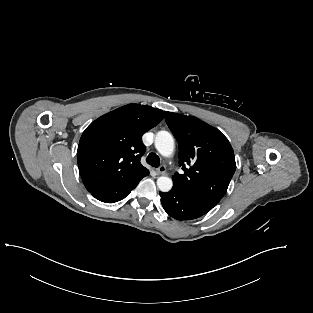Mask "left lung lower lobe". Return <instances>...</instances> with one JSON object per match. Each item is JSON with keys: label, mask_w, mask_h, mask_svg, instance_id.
<instances>
[{"label": "left lung lower lobe", "mask_w": 313, "mask_h": 313, "mask_svg": "<svg viewBox=\"0 0 313 313\" xmlns=\"http://www.w3.org/2000/svg\"><path fill=\"white\" fill-rule=\"evenodd\" d=\"M164 210L177 220H191L209 212L215 204L185 194L173 187L169 192L159 193Z\"/></svg>", "instance_id": "left-lung-lower-lobe-1"}]
</instances>
